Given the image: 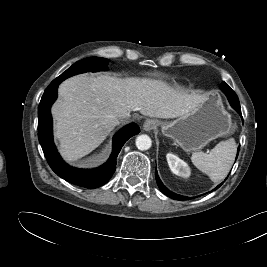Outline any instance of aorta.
Listing matches in <instances>:
<instances>
[{"mask_svg": "<svg viewBox=\"0 0 267 267\" xmlns=\"http://www.w3.org/2000/svg\"><path fill=\"white\" fill-rule=\"evenodd\" d=\"M152 145L151 138L148 135L142 134L136 138V147L141 150H148Z\"/></svg>", "mask_w": 267, "mask_h": 267, "instance_id": "1", "label": "aorta"}]
</instances>
